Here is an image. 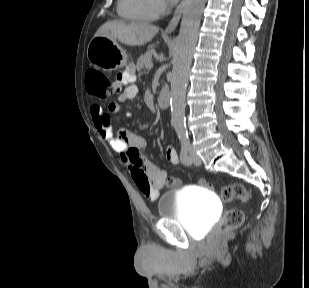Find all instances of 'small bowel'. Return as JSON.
<instances>
[{"label": "small bowel", "mask_w": 309, "mask_h": 288, "mask_svg": "<svg viewBox=\"0 0 309 288\" xmlns=\"http://www.w3.org/2000/svg\"><path fill=\"white\" fill-rule=\"evenodd\" d=\"M131 78L123 74L115 81L121 87L125 86L119 100L133 99L137 94V87L131 84ZM122 113L126 118H132L131 111H123L120 102H111L108 110L94 105L91 115L94 125L100 136L106 140L111 148L121 156L122 163L128 168L131 178L139 190L150 200H156L165 186L166 172L148 160L141 152L146 146L145 139L128 130L113 131L111 115ZM165 158L172 164L179 163L176 150L172 146L165 149Z\"/></svg>", "instance_id": "c3829d8e"}]
</instances>
